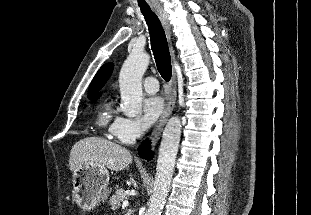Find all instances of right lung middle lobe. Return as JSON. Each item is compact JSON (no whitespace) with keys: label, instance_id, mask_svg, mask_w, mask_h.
Returning a JSON list of instances; mask_svg holds the SVG:
<instances>
[{"label":"right lung middle lobe","instance_id":"dd1d6c3e","mask_svg":"<svg viewBox=\"0 0 311 215\" xmlns=\"http://www.w3.org/2000/svg\"><path fill=\"white\" fill-rule=\"evenodd\" d=\"M98 97H96V98H91L92 100H95V99H97Z\"/></svg>","mask_w":311,"mask_h":215}]
</instances>
